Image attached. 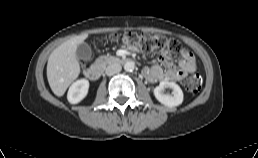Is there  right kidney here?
I'll return each mask as SVG.
<instances>
[{
	"label": "right kidney",
	"instance_id": "1",
	"mask_svg": "<svg viewBox=\"0 0 258 158\" xmlns=\"http://www.w3.org/2000/svg\"><path fill=\"white\" fill-rule=\"evenodd\" d=\"M89 81L87 79H80L74 82L67 94V99L71 104H77L82 101L88 94Z\"/></svg>",
	"mask_w": 258,
	"mask_h": 158
}]
</instances>
